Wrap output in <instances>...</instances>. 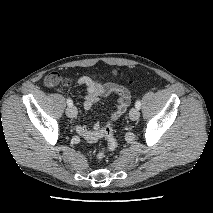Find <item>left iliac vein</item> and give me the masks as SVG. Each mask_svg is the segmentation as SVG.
Instances as JSON below:
<instances>
[{
    "label": "left iliac vein",
    "instance_id": "obj_1",
    "mask_svg": "<svg viewBox=\"0 0 213 213\" xmlns=\"http://www.w3.org/2000/svg\"><path fill=\"white\" fill-rule=\"evenodd\" d=\"M140 116V112H139V109L137 108H132L129 112V117L131 120L135 121L139 118Z\"/></svg>",
    "mask_w": 213,
    "mask_h": 213
}]
</instances>
